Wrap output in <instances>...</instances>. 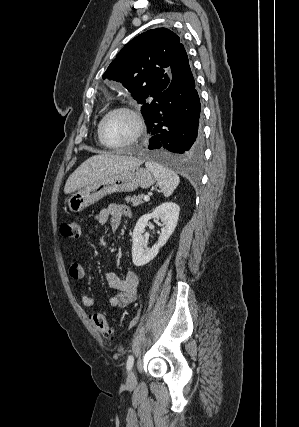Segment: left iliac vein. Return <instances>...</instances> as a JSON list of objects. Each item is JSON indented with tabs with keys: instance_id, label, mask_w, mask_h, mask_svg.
Here are the masks:
<instances>
[{
	"instance_id": "left-iliac-vein-1",
	"label": "left iliac vein",
	"mask_w": 299,
	"mask_h": 427,
	"mask_svg": "<svg viewBox=\"0 0 299 427\" xmlns=\"http://www.w3.org/2000/svg\"><path fill=\"white\" fill-rule=\"evenodd\" d=\"M135 382H136V375H135L134 370H131L128 374V377H127V383L128 384H134Z\"/></svg>"
}]
</instances>
